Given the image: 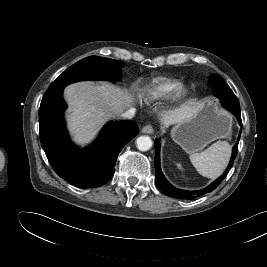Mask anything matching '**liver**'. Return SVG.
<instances>
[{"instance_id": "obj_1", "label": "liver", "mask_w": 267, "mask_h": 267, "mask_svg": "<svg viewBox=\"0 0 267 267\" xmlns=\"http://www.w3.org/2000/svg\"><path fill=\"white\" fill-rule=\"evenodd\" d=\"M64 96L71 109L68 111V128L77 143L91 141L102 124L121 113L132 103V97L109 83L94 85L92 82H79L65 88ZM199 105L182 104L163 114L165 125L176 124L192 116Z\"/></svg>"}]
</instances>
